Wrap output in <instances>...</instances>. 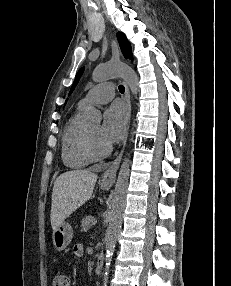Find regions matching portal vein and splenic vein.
Masks as SVG:
<instances>
[{
  "mask_svg": "<svg viewBox=\"0 0 231 286\" xmlns=\"http://www.w3.org/2000/svg\"><path fill=\"white\" fill-rule=\"evenodd\" d=\"M91 223H92V225H95L97 223V220L95 218H93Z\"/></svg>",
  "mask_w": 231,
  "mask_h": 286,
  "instance_id": "18ae733b",
  "label": "portal vein and splenic vein"
}]
</instances>
